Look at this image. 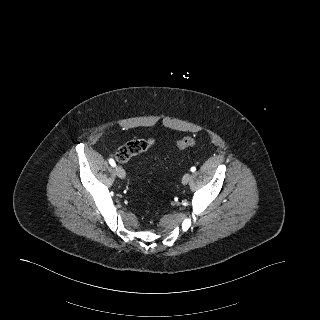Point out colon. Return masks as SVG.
Masks as SVG:
<instances>
[{
  "label": "colon",
  "instance_id": "5ec220e1",
  "mask_svg": "<svg viewBox=\"0 0 320 320\" xmlns=\"http://www.w3.org/2000/svg\"><path fill=\"white\" fill-rule=\"evenodd\" d=\"M198 143L197 139L194 137L186 136L181 138L177 142L179 150H185L192 147ZM151 145L144 139L132 140L121 146L115 154V158L118 162L125 163L132 156L140 154L146 151Z\"/></svg>",
  "mask_w": 320,
  "mask_h": 320
}]
</instances>
